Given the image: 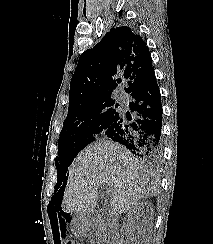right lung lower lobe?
<instances>
[{"instance_id": "1", "label": "right lung lower lobe", "mask_w": 213, "mask_h": 244, "mask_svg": "<svg viewBox=\"0 0 213 244\" xmlns=\"http://www.w3.org/2000/svg\"><path fill=\"white\" fill-rule=\"evenodd\" d=\"M130 95L133 101L129 107L134 114L119 113L102 134L126 146L138 157L157 161L162 150V104L153 70Z\"/></svg>"}]
</instances>
